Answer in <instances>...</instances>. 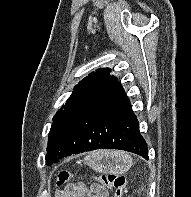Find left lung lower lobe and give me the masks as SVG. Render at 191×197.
Instances as JSON below:
<instances>
[{"label":"left lung lower lobe","mask_w":191,"mask_h":197,"mask_svg":"<svg viewBox=\"0 0 191 197\" xmlns=\"http://www.w3.org/2000/svg\"><path fill=\"white\" fill-rule=\"evenodd\" d=\"M71 154L96 149H121L148 159L147 143L137 117L119 84L99 97H90L74 113L64 131Z\"/></svg>","instance_id":"0a47b994"}]
</instances>
